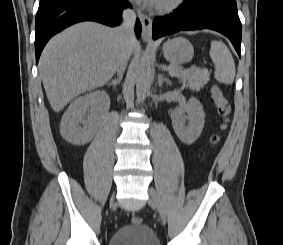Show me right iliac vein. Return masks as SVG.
I'll list each match as a JSON object with an SVG mask.
<instances>
[{
  "label": "right iliac vein",
  "instance_id": "1",
  "mask_svg": "<svg viewBox=\"0 0 283 245\" xmlns=\"http://www.w3.org/2000/svg\"><path fill=\"white\" fill-rule=\"evenodd\" d=\"M113 205H114V199H112L110 202V206H113Z\"/></svg>",
  "mask_w": 283,
  "mask_h": 245
}]
</instances>
